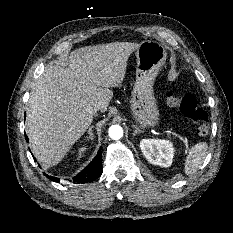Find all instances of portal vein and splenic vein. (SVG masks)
Segmentation results:
<instances>
[{
  "mask_svg": "<svg viewBox=\"0 0 233 233\" xmlns=\"http://www.w3.org/2000/svg\"><path fill=\"white\" fill-rule=\"evenodd\" d=\"M170 134H172V135H176V136H178L177 134H175V133H173V132H171V131H168ZM179 137V136H178ZM185 142H186V148H189V144H188V142L185 140Z\"/></svg>",
  "mask_w": 233,
  "mask_h": 233,
  "instance_id": "obj_1",
  "label": "portal vein and splenic vein"
}]
</instances>
